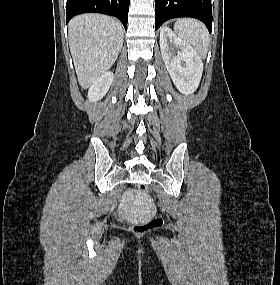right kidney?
Instances as JSON below:
<instances>
[{"mask_svg":"<svg viewBox=\"0 0 280 285\" xmlns=\"http://www.w3.org/2000/svg\"><path fill=\"white\" fill-rule=\"evenodd\" d=\"M113 79L114 75L112 72H106L96 79L88 90V100L90 102H97L101 100L108 92Z\"/></svg>","mask_w":280,"mask_h":285,"instance_id":"obj_1","label":"right kidney"}]
</instances>
